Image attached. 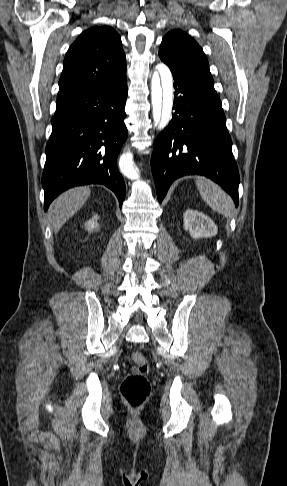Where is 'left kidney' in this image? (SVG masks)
<instances>
[{
  "instance_id": "5707ae66",
  "label": "left kidney",
  "mask_w": 287,
  "mask_h": 486,
  "mask_svg": "<svg viewBox=\"0 0 287 486\" xmlns=\"http://www.w3.org/2000/svg\"><path fill=\"white\" fill-rule=\"evenodd\" d=\"M184 229L194 239L210 238L217 234L218 228L215 223L204 213L197 210L187 209L183 214Z\"/></svg>"
}]
</instances>
